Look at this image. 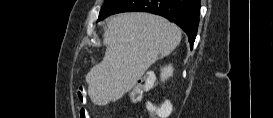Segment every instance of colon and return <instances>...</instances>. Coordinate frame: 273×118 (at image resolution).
Masks as SVG:
<instances>
[{
    "mask_svg": "<svg viewBox=\"0 0 273 118\" xmlns=\"http://www.w3.org/2000/svg\"><path fill=\"white\" fill-rule=\"evenodd\" d=\"M150 84H151L150 79H145L142 82H140L137 85L136 89L131 94L132 99L134 101L138 100L141 93H142V91H143V89L145 87L149 86ZM152 110L155 111L159 116L165 117V116H167L169 114V112L171 110V105L168 102H166L160 107H152Z\"/></svg>",
    "mask_w": 273,
    "mask_h": 118,
    "instance_id": "obj_1",
    "label": "colon"
}]
</instances>
